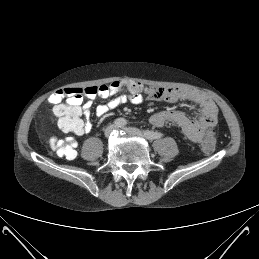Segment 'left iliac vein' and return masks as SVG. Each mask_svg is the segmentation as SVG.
<instances>
[{
  "label": "left iliac vein",
  "mask_w": 259,
  "mask_h": 259,
  "mask_svg": "<svg viewBox=\"0 0 259 259\" xmlns=\"http://www.w3.org/2000/svg\"><path fill=\"white\" fill-rule=\"evenodd\" d=\"M124 130L132 136L144 137V134L137 128L134 127H126Z\"/></svg>",
  "instance_id": "obj_1"
}]
</instances>
